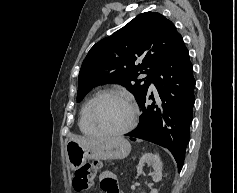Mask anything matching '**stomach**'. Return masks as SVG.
Listing matches in <instances>:
<instances>
[{
	"label": "stomach",
	"mask_w": 237,
	"mask_h": 193,
	"mask_svg": "<svg viewBox=\"0 0 237 193\" xmlns=\"http://www.w3.org/2000/svg\"><path fill=\"white\" fill-rule=\"evenodd\" d=\"M130 151L131 145L123 137L86 145L70 140L66 145L67 160L73 170L79 169L87 159L118 160L127 157Z\"/></svg>",
	"instance_id": "0dacf381"
}]
</instances>
